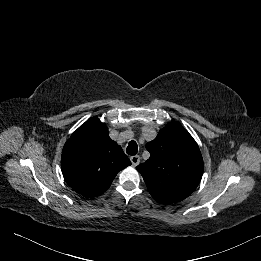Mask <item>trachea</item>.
Here are the masks:
<instances>
[{"label":"trachea","instance_id":"obj_1","mask_svg":"<svg viewBox=\"0 0 261 261\" xmlns=\"http://www.w3.org/2000/svg\"><path fill=\"white\" fill-rule=\"evenodd\" d=\"M138 152V145L134 140H131L129 142V145L127 146L126 153L128 155H136Z\"/></svg>","mask_w":261,"mask_h":261}]
</instances>
